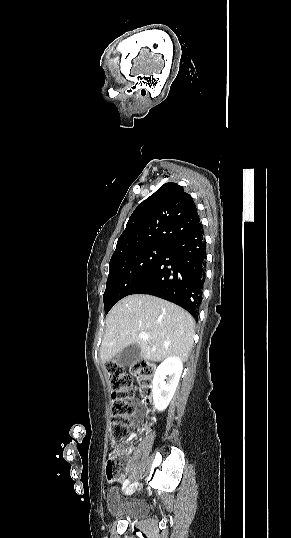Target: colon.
Segmentation results:
<instances>
[{
  "label": "colon",
  "mask_w": 291,
  "mask_h": 538,
  "mask_svg": "<svg viewBox=\"0 0 291 538\" xmlns=\"http://www.w3.org/2000/svg\"><path fill=\"white\" fill-rule=\"evenodd\" d=\"M112 394V418L109 427V438L113 451L106 462V474L110 480L119 479L124 473V464L121 462L117 449L121 442L129 435L134 407L130 403L133 397L131 390L133 377L137 378L146 395V405L151 407L149 394L151 382L154 378L155 367L152 363L140 360L132 364L130 372H127L115 361L106 364Z\"/></svg>",
  "instance_id": "1"
}]
</instances>
